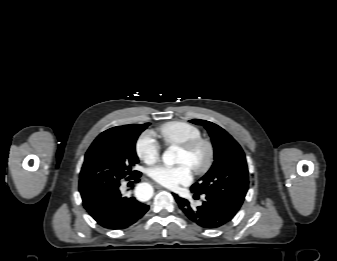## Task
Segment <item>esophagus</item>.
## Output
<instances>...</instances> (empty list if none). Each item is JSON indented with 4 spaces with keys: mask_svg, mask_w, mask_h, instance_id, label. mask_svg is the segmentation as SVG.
Here are the masks:
<instances>
[{
    "mask_svg": "<svg viewBox=\"0 0 337 261\" xmlns=\"http://www.w3.org/2000/svg\"><path fill=\"white\" fill-rule=\"evenodd\" d=\"M154 187L156 188V189H160V190H162V189H164L161 185H159V184H154Z\"/></svg>",
    "mask_w": 337,
    "mask_h": 261,
    "instance_id": "1",
    "label": "esophagus"
}]
</instances>
